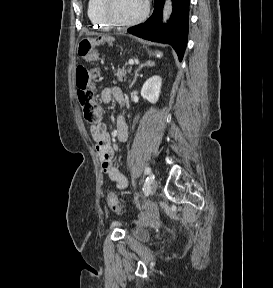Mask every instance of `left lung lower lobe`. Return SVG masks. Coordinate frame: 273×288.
<instances>
[{
    "label": "left lung lower lobe",
    "instance_id": "left-lung-lower-lobe-1",
    "mask_svg": "<svg viewBox=\"0 0 273 288\" xmlns=\"http://www.w3.org/2000/svg\"><path fill=\"white\" fill-rule=\"evenodd\" d=\"M154 1L155 8L151 17L129 28L128 32L146 40L170 44L181 61L187 45L190 0H172L173 12L165 27L161 26L164 0Z\"/></svg>",
    "mask_w": 273,
    "mask_h": 288
}]
</instances>
